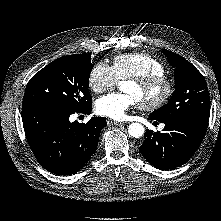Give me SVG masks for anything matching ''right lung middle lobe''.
I'll use <instances>...</instances> for the list:
<instances>
[{
	"label": "right lung middle lobe",
	"mask_w": 221,
	"mask_h": 221,
	"mask_svg": "<svg viewBox=\"0 0 221 221\" xmlns=\"http://www.w3.org/2000/svg\"><path fill=\"white\" fill-rule=\"evenodd\" d=\"M91 54L60 57L37 72L28 82L22 107L41 105L82 112L91 107L89 76Z\"/></svg>",
	"instance_id": "dd1d6c3e"
}]
</instances>
